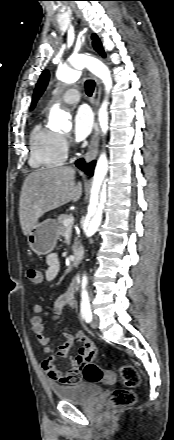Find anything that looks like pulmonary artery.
I'll return each mask as SVG.
<instances>
[{"instance_id":"1","label":"pulmonary artery","mask_w":174,"mask_h":440,"mask_svg":"<svg viewBox=\"0 0 174 440\" xmlns=\"http://www.w3.org/2000/svg\"><path fill=\"white\" fill-rule=\"evenodd\" d=\"M80 91L76 88H71L66 91V93L63 95V102L65 103H77L80 100Z\"/></svg>"}]
</instances>
